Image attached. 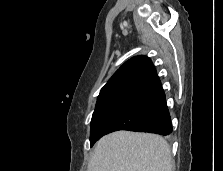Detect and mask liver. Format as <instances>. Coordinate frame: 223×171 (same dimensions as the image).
<instances>
[{"instance_id": "1", "label": "liver", "mask_w": 223, "mask_h": 171, "mask_svg": "<svg viewBox=\"0 0 223 171\" xmlns=\"http://www.w3.org/2000/svg\"><path fill=\"white\" fill-rule=\"evenodd\" d=\"M88 171H173L170 147L159 135L113 132L98 141Z\"/></svg>"}]
</instances>
